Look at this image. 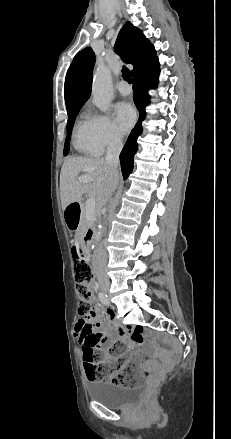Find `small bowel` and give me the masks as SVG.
<instances>
[{
  "instance_id": "small-bowel-1",
  "label": "small bowel",
  "mask_w": 231,
  "mask_h": 439,
  "mask_svg": "<svg viewBox=\"0 0 231 439\" xmlns=\"http://www.w3.org/2000/svg\"><path fill=\"white\" fill-rule=\"evenodd\" d=\"M102 310L94 304L92 311L86 318H80L76 323V333L79 336L82 353L88 347L94 349H106L116 339L120 338L128 342L131 353L141 346L143 342L142 331L137 329L132 332L129 329H122L114 324L112 321V313L110 310L106 312L107 322L101 321ZM98 330L97 332L95 330ZM123 368H132L135 373H148L147 368H141L138 361H134L129 355H123ZM105 360L107 358L105 357ZM113 362H118V359H113Z\"/></svg>"
}]
</instances>
